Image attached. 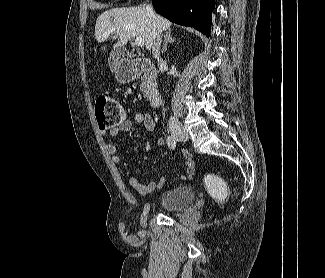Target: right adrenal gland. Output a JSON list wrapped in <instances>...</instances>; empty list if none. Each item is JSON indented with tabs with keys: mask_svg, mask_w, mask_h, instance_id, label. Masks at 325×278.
<instances>
[{
	"mask_svg": "<svg viewBox=\"0 0 325 278\" xmlns=\"http://www.w3.org/2000/svg\"><path fill=\"white\" fill-rule=\"evenodd\" d=\"M171 31H172L171 29H168L167 32H166L165 43H164V46L162 48V53L166 52L168 43H172V42L175 41V39L171 35Z\"/></svg>",
	"mask_w": 325,
	"mask_h": 278,
	"instance_id": "obj_1",
	"label": "right adrenal gland"
}]
</instances>
